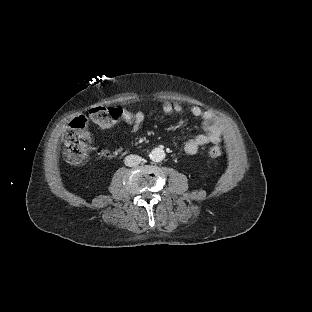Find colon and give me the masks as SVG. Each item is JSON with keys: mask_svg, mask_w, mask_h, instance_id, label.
<instances>
[{"mask_svg": "<svg viewBox=\"0 0 312 312\" xmlns=\"http://www.w3.org/2000/svg\"><path fill=\"white\" fill-rule=\"evenodd\" d=\"M126 111L125 106H96L91 108L88 114L93 124L104 129L120 121ZM87 127V120L82 116H77L72 120L71 127L64 135V156L73 165L83 163L91 149V137ZM209 152L212 156H219L222 154V147L217 144L213 145Z\"/></svg>", "mask_w": 312, "mask_h": 312, "instance_id": "obj_1", "label": "colon"}]
</instances>
